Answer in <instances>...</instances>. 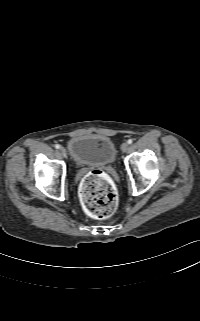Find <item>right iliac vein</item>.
Segmentation results:
<instances>
[{
    "mask_svg": "<svg viewBox=\"0 0 200 321\" xmlns=\"http://www.w3.org/2000/svg\"><path fill=\"white\" fill-rule=\"evenodd\" d=\"M60 153H61L63 156H66V150H65V148L61 147V148H60Z\"/></svg>",
    "mask_w": 200,
    "mask_h": 321,
    "instance_id": "obj_1",
    "label": "right iliac vein"
}]
</instances>
